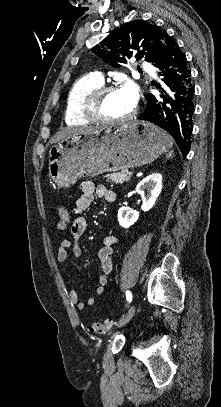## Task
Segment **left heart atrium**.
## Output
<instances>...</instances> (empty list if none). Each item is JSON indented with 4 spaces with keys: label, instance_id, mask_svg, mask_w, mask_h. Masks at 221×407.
<instances>
[{
    "label": "left heart atrium",
    "instance_id": "1",
    "mask_svg": "<svg viewBox=\"0 0 221 407\" xmlns=\"http://www.w3.org/2000/svg\"><path fill=\"white\" fill-rule=\"evenodd\" d=\"M121 91L125 94L131 105L135 106L138 101V90L136 86L131 82H127L121 88Z\"/></svg>",
    "mask_w": 221,
    "mask_h": 407
}]
</instances>
